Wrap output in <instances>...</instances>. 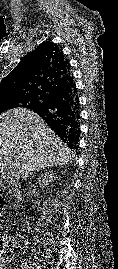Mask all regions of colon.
<instances>
[{"label":"colon","mask_w":118,"mask_h":269,"mask_svg":"<svg viewBox=\"0 0 118 269\" xmlns=\"http://www.w3.org/2000/svg\"><path fill=\"white\" fill-rule=\"evenodd\" d=\"M3 209V200L0 198V212ZM11 246L10 242H7V244L2 247L0 246V259L2 260H7L10 257V249L9 247Z\"/></svg>","instance_id":"5ec220e1"}]
</instances>
